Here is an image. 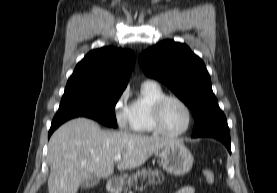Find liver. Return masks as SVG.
<instances>
[{
	"instance_id": "1",
	"label": "liver",
	"mask_w": 277,
	"mask_h": 193,
	"mask_svg": "<svg viewBox=\"0 0 277 193\" xmlns=\"http://www.w3.org/2000/svg\"><path fill=\"white\" fill-rule=\"evenodd\" d=\"M176 139L128 132L103 131L87 118L73 119L50 138L49 193H77L82 182L92 176L108 178L114 172V158L122 155L118 170L141 166Z\"/></svg>"
}]
</instances>
